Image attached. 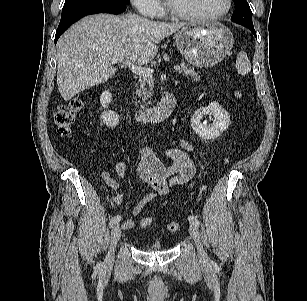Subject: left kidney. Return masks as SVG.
I'll list each match as a JSON object with an SVG mask.
<instances>
[{
    "label": "left kidney",
    "instance_id": "5707ae66",
    "mask_svg": "<svg viewBox=\"0 0 307 301\" xmlns=\"http://www.w3.org/2000/svg\"><path fill=\"white\" fill-rule=\"evenodd\" d=\"M204 115H213L214 120L208 127L205 122H202ZM229 124V113L217 102H211L207 107L198 109L191 118L192 129L203 140L218 138L228 128Z\"/></svg>",
    "mask_w": 307,
    "mask_h": 301
}]
</instances>
